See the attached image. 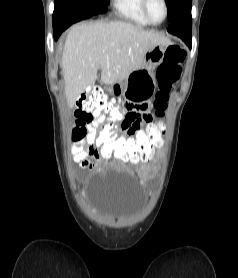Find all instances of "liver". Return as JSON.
Here are the masks:
<instances>
[{
    "mask_svg": "<svg viewBox=\"0 0 238 278\" xmlns=\"http://www.w3.org/2000/svg\"><path fill=\"white\" fill-rule=\"evenodd\" d=\"M168 38L126 21L78 23L69 29L61 72L65 95L71 108L81 94L97 79L106 85L125 80L145 63L149 48L166 46Z\"/></svg>",
    "mask_w": 238,
    "mask_h": 278,
    "instance_id": "obj_1",
    "label": "liver"
}]
</instances>
